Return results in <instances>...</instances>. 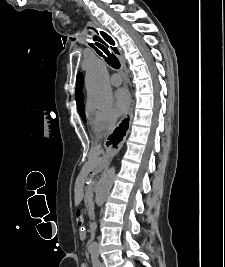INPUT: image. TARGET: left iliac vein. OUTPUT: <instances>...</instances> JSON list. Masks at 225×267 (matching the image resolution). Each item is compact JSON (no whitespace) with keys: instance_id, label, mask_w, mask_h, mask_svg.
Segmentation results:
<instances>
[{"instance_id":"1","label":"left iliac vein","mask_w":225,"mask_h":267,"mask_svg":"<svg viewBox=\"0 0 225 267\" xmlns=\"http://www.w3.org/2000/svg\"><path fill=\"white\" fill-rule=\"evenodd\" d=\"M100 267H105V264L104 263H100Z\"/></svg>"}]
</instances>
